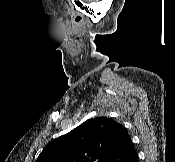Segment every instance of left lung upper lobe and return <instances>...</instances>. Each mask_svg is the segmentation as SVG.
I'll return each mask as SVG.
<instances>
[{"label":"left lung upper lobe","instance_id":"1","mask_svg":"<svg viewBox=\"0 0 175 162\" xmlns=\"http://www.w3.org/2000/svg\"><path fill=\"white\" fill-rule=\"evenodd\" d=\"M127 134L122 124L110 118L88 119L50 142L36 162H107Z\"/></svg>","mask_w":175,"mask_h":162}]
</instances>
